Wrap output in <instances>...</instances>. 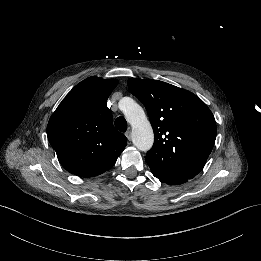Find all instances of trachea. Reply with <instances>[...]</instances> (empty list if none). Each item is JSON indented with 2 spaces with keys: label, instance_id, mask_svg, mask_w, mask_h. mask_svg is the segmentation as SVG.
<instances>
[{
  "label": "trachea",
  "instance_id": "obj_1",
  "mask_svg": "<svg viewBox=\"0 0 261 261\" xmlns=\"http://www.w3.org/2000/svg\"><path fill=\"white\" fill-rule=\"evenodd\" d=\"M115 127L121 131V132H125L127 130V127H128V124L125 120V118L123 117H118L116 120H115Z\"/></svg>",
  "mask_w": 261,
  "mask_h": 261
}]
</instances>
